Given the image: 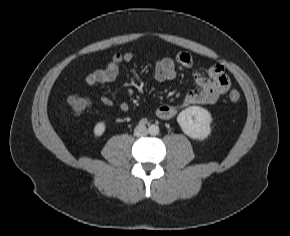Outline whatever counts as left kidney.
Returning <instances> with one entry per match:
<instances>
[{"mask_svg":"<svg viewBox=\"0 0 290 236\" xmlns=\"http://www.w3.org/2000/svg\"><path fill=\"white\" fill-rule=\"evenodd\" d=\"M177 122L182 131L192 139L204 140L211 133L212 116L199 106H191L181 111Z\"/></svg>","mask_w":290,"mask_h":236,"instance_id":"1","label":"left kidney"}]
</instances>
